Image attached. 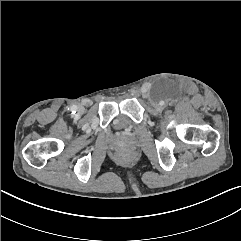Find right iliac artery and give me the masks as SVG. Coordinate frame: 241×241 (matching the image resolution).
<instances>
[{"label":"right iliac artery","instance_id":"82829eb1","mask_svg":"<svg viewBox=\"0 0 241 241\" xmlns=\"http://www.w3.org/2000/svg\"><path fill=\"white\" fill-rule=\"evenodd\" d=\"M76 110H77V107H76L75 105H73V106L70 107V111H71L72 113H75Z\"/></svg>","mask_w":241,"mask_h":241}]
</instances>
